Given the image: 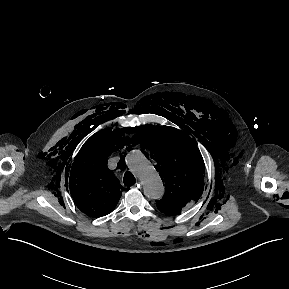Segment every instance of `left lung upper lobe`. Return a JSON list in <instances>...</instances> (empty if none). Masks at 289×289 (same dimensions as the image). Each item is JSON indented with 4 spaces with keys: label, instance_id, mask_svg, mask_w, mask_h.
I'll return each mask as SVG.
<instances>
[{
    "label": "left lung upper lobe",
    "instance_id": "5c2ea615",
    "mask_svg": "<svg viewBox=\"0 0 289 289\" xmlns=\"http://www.w3.org/2000/svg\"><path fill=\"white\" fill-rule=\"evenodd\" d=\"M140 134L166 185L156 206L166 215H178L202 195L205 166L201 153L187 134L173 127L146 125Z\"/></svg>",
    "mask_w": 289,
    "mask_h": 289
}]
</instances>
